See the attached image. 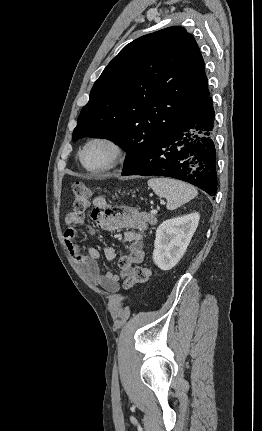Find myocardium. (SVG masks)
Masks as SVG:
<instances>
[{
    "label": "myocardium",
    "mask_w": 262,
    "mask_h": 431,
    "mask_svg": "<svg viewBox=\"0 0 262 431\" xmlns=\"http://www.w3.org/2000/svg\"><path fill=\"white\" fill-rule=\"evenodd\" d=\"M95 144H105L107 145L111 150V157L109 162L100 168L92 169L85 165L84 163V155L86 151ZM126 154V149L121 141H119L117 138L109 135H100L95 136L89 139L83 146L80 155L79 160L82 165V167L91 174H102L108 171H111L119 166V164L123 161Z\"/></svg>",
    "instance_id": "f54148a6"
}]
</instances>
